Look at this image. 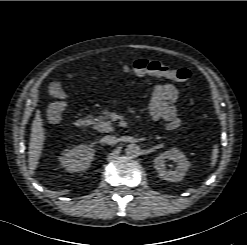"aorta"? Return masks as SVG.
Returning a JSON list of instances; mask_svg holds the SVG:
<instances>
[{
	"mask_svg": "<svg viewBox=\"0 0 247 245\" xmlns=\"http://www.w3.org/2000/svg\"><path fill=\"white\" fill-rule=\"evenodd\" d=\"M125 153L129 158H136L141 154V149L137 144H129L125 148Z\"/></svg>",
	"mask_w": 247,
	"mask_h": 245,
	"instance_id": "obj_1",
	"label": "aorta"
}]
</instances>
